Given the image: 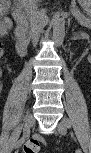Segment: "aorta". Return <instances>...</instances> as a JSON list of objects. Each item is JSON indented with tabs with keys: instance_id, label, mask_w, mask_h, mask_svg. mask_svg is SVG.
Here are the masks:
<instances>
[{
	"instance_id": "762f6f07",
	"label": "aorta",
	"mask_w": 91,
	"mask_h": 153,
	"mask_svg": "<svg viewBox=\"0 0 91 153\" xmlns=\"http://www.w3.org/2000/svg\"><path fill=\"white\" fill-rule=\"evenodd\" d=\"M65 36V22L57 16L53 23V40L57 46H61Z\"/></svg>"
}]
</instances>
